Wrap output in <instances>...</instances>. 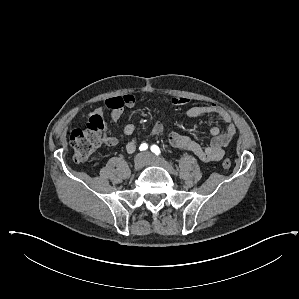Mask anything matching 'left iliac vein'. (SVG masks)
<instances>
[{
  "label": "left iliac vein",
  "mask_w": 299,
  "mask_h": 299,
  "mask_svg": "<svg viewBox=\"0 0 299 299\" xmlns=\"http://www.w3.org/2000/svg\"><path fill=\"white\" fill-rule=\"evenodd\" d=\"M144 156L146 158V165H150V166H159L164 168L167 172H169L170 174H175L176 171L173 168V166L171 164H169L167 161L154 157L152 156L150 153H144Z\"/></svg>",
  "instance_id": "left-iliac-vein-1"
}]
</instances>
